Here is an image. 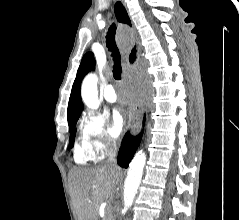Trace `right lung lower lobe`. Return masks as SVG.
Listing matches in <instances>:
<instances>
[{
  "mask_svg": "<svg viewBox=\"0 0 239 220\" xmlns=\"http://www.w3.org/2000/svg\"><path fill=\"white\" fill-rule=\"evenodd\" d=\"M140 140H141V134H139L136 137H132L129 132L126 133L122 141L121 148L119 150L118 158H117V162L121 167L123 168L128 167V164L133 158Z\"/></svg>",
  "mask_w": 239,
  "mask_h": 220,
  "instance_id": "right-lung-lower-lobe-1",
  "label": "right lung lower lobe"
}]
</instances>
